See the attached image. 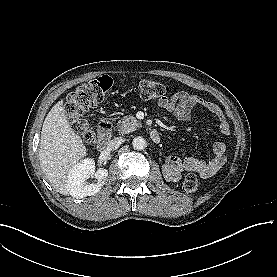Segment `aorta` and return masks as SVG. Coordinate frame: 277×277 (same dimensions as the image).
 <instances>
[{
	"label": "aorta",
	"instance_id": "aorta-1",
	"mask_svg": "<svg viewBox=\"0 0 277 277\" xmlns=\"http://www.w3.org/2000/svg\"><path fill=\"white\" fill-rule=\"evenodd\" d=\"M132 146L135 150H142L146 148L147 142L143 137L137 136L133 139Z\"/></svg>",
	"mask_w": 277,
	"mask_h": 277
}]
</instances>
